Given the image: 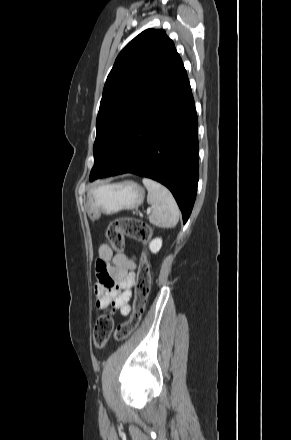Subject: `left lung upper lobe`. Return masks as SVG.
Returning a JSON list of instances; mask_svg holds the SVG:
<instances>
[{
  "label": "left lung upper lobe",
  "instance_id": "obj_1",
  "mask_svg": "<svg viewBox=\"0 0 291 440\" xmlns=\"http://www.w3.org/2000/svg\"><path fill=\"white\" fill-rule=\"evenodd\" d=\"M181 63L163 30L143 31L120 52L103 89L90 181L104 171L138 117Z\"/></svg>",
  "mask_w": 291,
  "mask_h": 440
}]
</instances>
